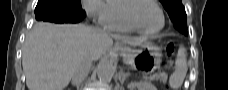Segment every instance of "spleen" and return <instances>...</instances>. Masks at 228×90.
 Segmentation results:
<instances>
[{
  "label": "spleen",
  "mask_w": 228,
  "mask_h": 90,
  "mask_svg": "<svg viewBox=\"0 0 228 90\" xmlns=\"http://www.w3.org/2000/svg\"><path fill=\"white\" fill-rule=\"evenodd\" d=\"M188 70L186 61V51L183 48L178 50L177 58L175 60V71L170 76L169 85L173 89L181 87Z\"/></svg>",
  "instance_id": "obj_1"
}]
</instances>
